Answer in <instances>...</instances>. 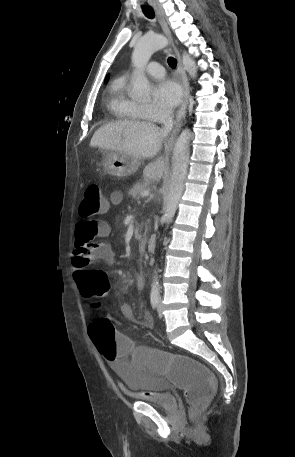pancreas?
Listing matches in <instances>:
<instances>
[{"label": "pancreas", "mask_w": 295, "mask_h": 457, "mask_svg": "<svg viewBox=\"0 0 295 457\" xmlns=\"http://www.w3.org/2000/svg\"><path fill=\"white\" fill-rule=\"evenodd\" d=\"M147 188L143 183H136L133 188H131L128 192V194L133 198V199H138L140 196H142V192L145 191Z\"/></svg>", "instance_id": "pancreas-1"}]
</instances>
